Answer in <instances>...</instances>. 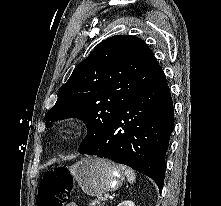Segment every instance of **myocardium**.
<instances>
[{
    "mask_svg": "<svg viewBox=\"0 0 221 206\" xmlns=\"http://www.w3.org/2000/svg\"><path fill=\"white\" fill-rule=\"evenodd\" d=\"M80 123L77 120H70L66 122L59 130V137L67 135H74L80 130Z\"/></svg>",
    "mask_w": 221,
    "mask_h": 206,
    "instance_id": "obj_1",
    "label": "myocardium"
}]
</instances>
